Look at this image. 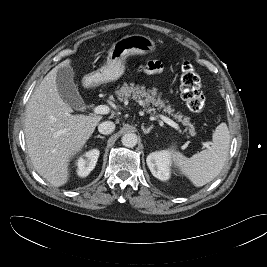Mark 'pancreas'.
<instances>
[{
	"instance_id": "obj_1",
	"label": "pancreas",
	"mask_w": 267,
	"mask_h": 267,
	"mask_svg": "<svg viewBox=\"0 0 267 267\" xmlns=\"http://www.w3.org/2000/svg\"><path fill=\"white\" fill-rule=\"evenodd\" d=\"M115 93L120 101H126L130 98L136 100L148 113L155 111L154 107L158 110L163 109L165 113L172 115L175 119L182 122L183 125L189 126L191 135L195 134L194 127L189 122V118L183 117V115L178 113L173 114L174 109H172L171 105H166L167 101L161 99V96L157 95L155 90H146L144 86H135L134 84H130L129 86L124 83Z\"/></svg>"
}]
</instances>
